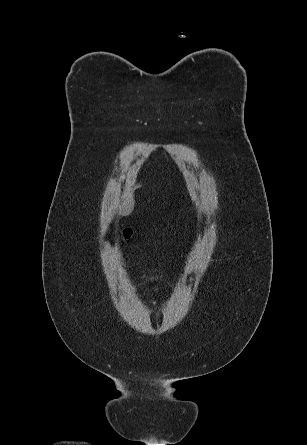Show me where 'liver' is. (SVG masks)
Here are the masks:
<instances>
[{
    "mask_svg": "<svg viewBox=\"0 0 307 445\" xmlns=\"http://www.w3.org/2000/svg\"><path fill=\"white\" fill-rule=\"evenodd\" d=\"M139 186H141V184H136V186H133V188H131L130 192H123L122 196L124 198L122 204H120L121 208V212L123 214V216H127V214H131L132 210H134V206H135V198H134V192L136 190V188H139Z\"/></svg>",
    "mask_w": 307,
    "mask_h": 445,
    "instance_id": "liver-1",
    "label": "liver"
}]
</instances>
